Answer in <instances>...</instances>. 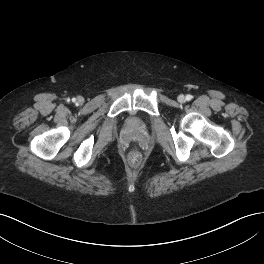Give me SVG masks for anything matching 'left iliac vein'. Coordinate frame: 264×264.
Wrapping results in <instances>:
<instances>
[{
	"mask_svg": "<svg viewBox=\"0 0 264 264\" xmlns=\"http://www.w3.org/2000/svg\"><path fill=\"white\" fill-rule=\"evenodd\" d=\"M178 101L180 102V103H183L184 101H185V97H184V95H179L178 96Z\"/></svg>",
	"mask_w": 264,
	"mask_h": 264,
	"instance_id": "4c4485c4",
	"label": "left iliac vein"
}]
</instances>
